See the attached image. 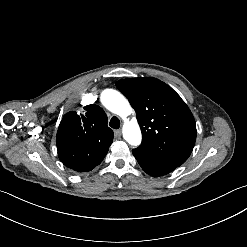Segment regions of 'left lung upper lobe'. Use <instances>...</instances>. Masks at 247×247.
I'll return each mask as SVG.
<instances>
[{
	"label": "left lung upper lobe",
	"instance_id": "5c2ea615",
	"mask_svg": "<svg viewBox=\"0 0 247 247\" xmlns=\"http://www.w3.org/2000/svg\"><path fill=\"white\" fill-rule=\"evenodd\" d=\"M116 86L136 111L142 131L138 149L175 166L183 164L193 150L196 125L181 97L153 77L124 79Z\"/></svg>",
	"mask_w": 247,
	"mask_h": 247
}]
</instances>
